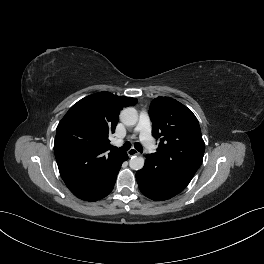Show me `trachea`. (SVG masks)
<instances>
[{
	"mask_svg": "<svg viewBox=\"0 0 264 264\" xmlns=\"http://www.w3.org/2000/svg\"><path fill=\"white\" fill-rule=\"evenodd\" d=\"M131 147V143L130 142H126L121 148H116V150L119 151H128ZM134 147L137 151L142 152L143 151V147L139 142H136L134 144Z\"/></svg>",
	"mask_w": 264,
	"mask_h": 264,
	"instance_id": "3493384b",
	"label": "trachea"
}]
</instances>
